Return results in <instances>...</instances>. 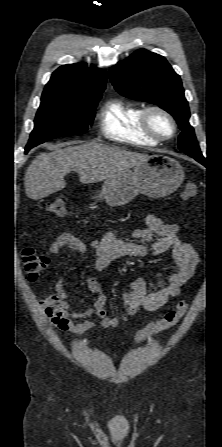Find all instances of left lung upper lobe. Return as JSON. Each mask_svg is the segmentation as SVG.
<instances>
[{
    "instance_id": "obj_1",
    "label": "left lung upper lobe",
    "mask_w": 222,
    "mask_h": 447,
    "mask_svg": "<svg viewBox=\"0 0 222 447\" xmlns=\"http://www.w3.org/2000/svg\"><path fill=\"white\" fill-rule=\"evenodd\" d=\"M109 74L121 95L158 105L170 113L182 130L179 149L189 156L203 157L189 124V106L180 76L163 56L139 49L113 66Z\"/></svg>"
}]
</instances>
